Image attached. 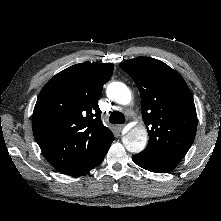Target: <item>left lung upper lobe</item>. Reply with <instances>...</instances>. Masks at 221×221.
I'll use <instances>...</instances> for the list:
<instances>
[{"label": "left lung upper lobe", "mask_w": 221, "mask_h": 221, "mask_svg": "<svg viewBox=\"0 0 221 221\" xmlns=\"http://www.w3.org/2000/svg\"><path fill=\"white\" fill-rule=\"evenodd\" d=\"M136 83L149 143L141 152L179 163L197 129L196 108L184 79L164 62L137 57L119 64Z\"/></svg>", "instance_id": "1"}]
</instances>
